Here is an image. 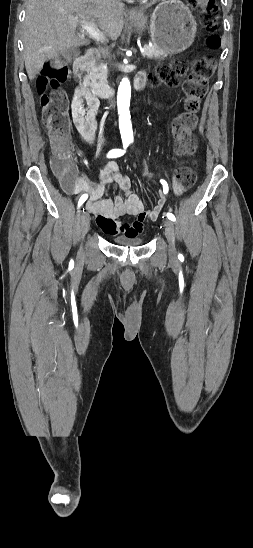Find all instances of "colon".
I'll return each instance as SVG.
<instances>
[{
    "instance_id": "obj_1",
    "label": "colon",
    "mask_w": 253,
    "mask_h": 548,
    "mask_svg": "<svg viewBox=\"0 0 253 548\" xmlns=\"http://www.w3.org/2000/svg\"><path fill=\"white\" fill-rule=\"evenodd\" d=\"M202 12V22L207 32L206 43L211 49L219 46L217 35L218 12L214 0H188ZM216 62L211 57H203L188 67L183 60H174L161 66L151 77L153 85L165 84L176 86L182 76L185 93V111L173 123V133L179 142V152L189 154L195 148L192 130L196 126L200 104L204 99L210 79L213 76ZM68 68L64 59L59 58L44 64L36 81V88L41 95L42 122L52 138L53 158L51 161L54 173L62 180H68L75 172L71 161V140L68 126L69 102L67 95L59 89L60 84L67 78ZM141 179L153 180L154 170L149 163H142ZM175 179L183 186H192L196 181L193 167L180 165L174 171Z\"/></svg>"
}]
</instances>
